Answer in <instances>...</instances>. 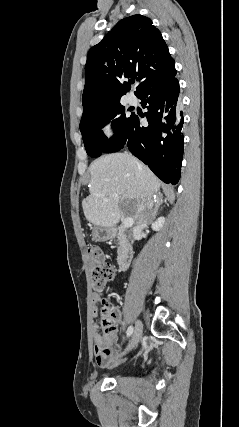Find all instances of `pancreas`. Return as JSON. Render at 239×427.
<instances>
[{
	"label": "pancreas",
	"instance_id": "cf45deb5",
	"mask_svg": "<svg viewBox=\"0 0 239 427\" xmlns=\"http://www.w3.org/2000/svg\"><path fill=\"white\" fill-rule=\"evenodd\" d=\"M117 238H118L119 243H121V242H122V238H121V236H120V235H118V236H117Z\"/></svg>",
	"mask_w": 239,
	"mask_h": 427
}]
</instances>
